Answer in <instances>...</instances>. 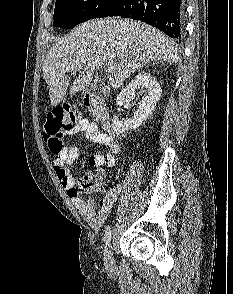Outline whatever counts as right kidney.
<instances>
[{
	"mask_svg": "<svg viewBox=\"0 0 233 294\" xmlns=\"http://www.w3.org/2000/svg\"><path fill=\"white\" fill-rule=\"evenodd\" d=\"M136 90H140L144 97L138 103V109L129 120H119L113 117L112 129L118 136L128 130L139 128L153 113L162 93L159 82L146 72L139 73L117 96L116 104L122 106L135 98ZM119 110V109H118Z\"/></svg>",
	"mask_w": 233,
	"mask_h": 294,
	"instance_id": "1",
	"label": "right kidney"
}]
</instances>
